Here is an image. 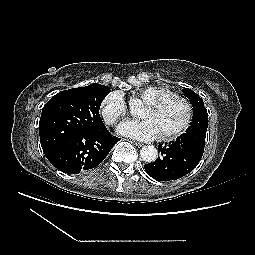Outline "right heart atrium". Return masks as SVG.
Masks as SVG:
<instances>
[{"instance_id":"obj_1","label":"right heart atrium","mask_w":255,"mask_h":255,"mask_svg":"<svg viewBox=\"0 0 255 255\" xmlns=\"http://www.w3.org/2000/svg\"><path fill=\"white\" fill-rule=\"evenodd\" d=\"M127 114V105L119 92L109 93L101 104V115L107 125H114Z\"/></svg>"}]
</instances>
